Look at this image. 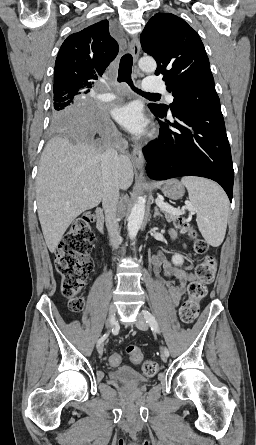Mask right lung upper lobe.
Wrapping results in <instances>:
<instances>
[{"mask_svg":"<svg viewBox=\"0 0 256 445\" xmlns=\"http://www.w3.org/2000/svg\"><path fill=\"white\" fill-rule=\"evenodd\" d=\"M118 53L107 20L71 34L63 42L55 62L54 95L88 93Z\"/></svg>","mask_w":256,"mask_h":445,"instance_id":"right-lung-upper-lobe-1","label":"right lung upper lobe"}]
</instances>
